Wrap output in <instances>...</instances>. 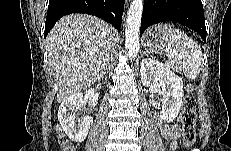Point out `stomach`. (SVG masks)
<instances>
[{
    "mask_svg": "<svg viewBox=\"0 0 231 151\" xmlns=\"http://www.w3.org/2000/svg\"><path fill=\"white\" fill-rule=\"evenodd\" d=\"M170 37L163 25H155L149 28L143 38V46L148 52H163L168 50Z\"/></svg>",
    "mask_w": 231,
    "mask_h": 151,
    "instance_id": "1",
    "label": "stomach"
}]
</instances>
